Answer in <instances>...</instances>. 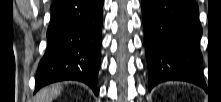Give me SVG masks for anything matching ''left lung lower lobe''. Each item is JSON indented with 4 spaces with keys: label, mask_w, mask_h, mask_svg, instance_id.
I'll use <instances>...</instances> for the list:
<instances>
[{
    "label": "left lung lower lobe",
    "mask_w": 221,
    "mask_h": 102,
    "mask_svg": "<svg viewBox=\"0 0 221 102\" xmlns=\"http://www.w3.org/2000/svg\"><path fill=\"white\" fill-rule=\"evenodd\" d=\"M149 90L180 80L205 87L201 61L202 27L194 0H142Z\"/></svg>",
    "instance_id": "obj_1"
}]
</instances>
